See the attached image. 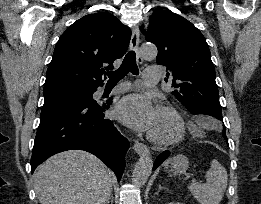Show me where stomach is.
<instances>
[{
	"label": "stomach",
	"instance_id": "0dacf381",
	"mask_svg": "<svg viewBox=\"0 0 261 204\" xmlns=\"http://www.w3.org/2000/svg\"><path fill=\"white\" fill-rule=\"evenodd\" d=\"M171 165V171L175 175H180L185 173V171L188 169V159L184 155H177L173 157L167 165Z\"/></svg>",
	"mask_w": 261,
	"mask_h": 204
}]
</instances>
